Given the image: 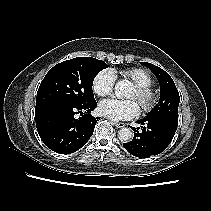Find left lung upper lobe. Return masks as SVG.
Wrapping results in <instances>:
<instances>
[{
    "label": "left lung upper lobe",
    "instance_id": "left-lung-upper-lobe-1",
    "mask_svg": "<svg viewBox=\"0 0 211 211\" xmlns=\"http://www.w3.org/2000/svg\"><path fill=\"white\" fill-rule=\"evenodd\" d=\"M148 67L157 77L160 84V100L152 113L146 118H159L178 125L179 93L170 75L161 68L147 62H140Z\"/></svg>",
    "mask_w": 211,
    "mask_h": 211
}]
</instances>
